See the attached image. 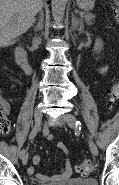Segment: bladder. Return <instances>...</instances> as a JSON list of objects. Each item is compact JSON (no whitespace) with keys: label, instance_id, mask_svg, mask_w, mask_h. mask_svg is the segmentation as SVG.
Returning <instances> with one entry per match:
<instances>
[{"label":"bladder","instance_id":"1","mask_svg":"<svg viewBox=\"0 0 119 185\" xmlns=\"http://www.w3.org/2000/svg\"><path fill=\"white\" fill-rule=\"evenodd\" d=\"M47 185H98V183L95 179L88 178V179H71Z\"/></svg>","mask_w":119,"mask_h":185}]
</instances>
